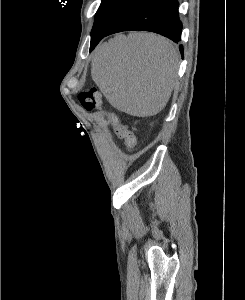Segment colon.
Returning <instances> with one entry per match:
<instances>
[{
  "label": "colon",
  "instance_id": "5ec220e1",
  "mask_svg": "<svg viewBox=\"0 0 245 300\" xmlns=\"http://www.w3.org/2000/svg\"><path fill=\"white\" fill-rule=\"evenodd\" d=\"M79 101L82 104V106L87 111H92L95 109H99L101 106V98L100 94L96 89H89L86 91H83L79 94ZM110 122L116 126L124 140L125 146L128 150H132L136 145V137L131 132L128 127L124 124H121L114 114L109 115Z\"/></svg>",
  "mask_w": 245,
  "mask_h": 300
}]
</instances>
